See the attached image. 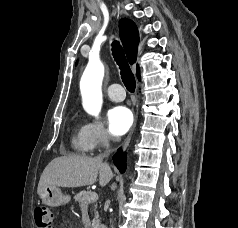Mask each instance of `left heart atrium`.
I'll list each match as a JSON object with an SVG mask.
<instances>
[{
    "label": "left heart atrium",
    "mask_w": 238,
    "mask_h": 228,
    "mask_svg": "<svg viewBox=\"0 0 238 228\" xmlns=\"http://www.w3.org/2000/svg\"><path fill=\"white\" fill-rule=\"evenodd\" d=\"M132 123L133 115L124 106H116L108 112V125L113 135H123L130 129Z\"/></svg>",
    "instance_id": "left-heart-atrium-1"
}]
</instances>
